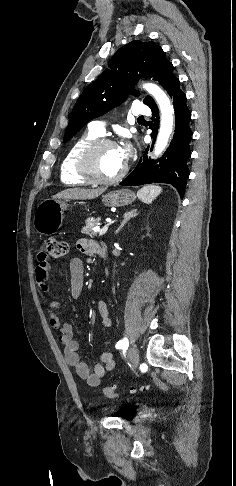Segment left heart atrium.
I'll list each match as a JSON object with an SVG mask.
<instances>
[{"label": "left heart atrium", "mask_w": 236, "mask_h": 486, "mask_svg": "<svg viewBox=\"0 0 236 486\" xmlns=\"http://www.w3.org/2000/svg\"><path fill=\"white\" fill-rule=\"evenodd\" d=\"M119 151H120L122 160L124 161V163H126V161L128 160V158H129V156L131 154V147H130V145L126 144L123 147H120L119 148Z\"/></svg>", "instance_id": "obj_1"}]
</instances>
